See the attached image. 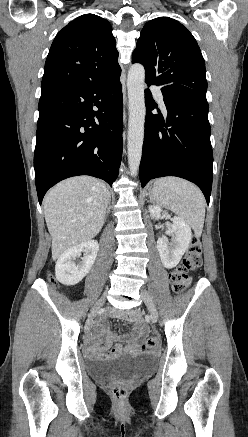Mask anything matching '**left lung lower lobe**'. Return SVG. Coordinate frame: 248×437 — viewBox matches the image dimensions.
<instances>
[{
    "mask_svg": "<svg viewBox=\"0 0 248 437\" xmlns=\"http://www.w3.org/2000/svg\"><path fill=\"white\" fill-rule=\"evenodd\" d=\"M153 101L150 90L146 89L145 103L148 112L139 168L142 187L150 179L164 176L181 177L195 183L209 204L213 180V153L208 103L164 96L168 112L164 121L163 117L151 113L154 108Z\"/></svg>",
    "mask_w": 248,
    "mask_h": 437,
    "instance_id": "obj_1",
    "label": "left lung lower lobe"
}]
</instances>
